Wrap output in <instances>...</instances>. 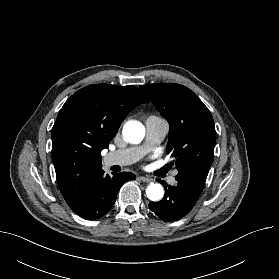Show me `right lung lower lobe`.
<instances>
[{
  "mask_svg": "<svg viewBox=\"0 0 279 279\" xmlns=\"http://www.w3.org/2000/svg\"><path fill=\"white\" fill-rule=\"evenodd\" d=\"M135 177L130 172L113 173V176H109L100 170L90 180L80 199L70 208L83 219H99L111 209L121 186Z\"/></svg>",
  "mask_w": 279,
  "mask_h": 279,
  "instance_id": "98d812e1",
  "label": "right lung lower lobe"
}]
</instances>
